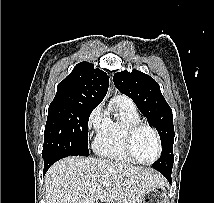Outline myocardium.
Listing matches in <instances>:
<instances>
[{
  "instance_id": "obj_1",
  "label": "myocardium",
  "mask_w": 214,
  "mask_h": 203,
  "mask_svg": "<svg viewBox=\"0 0 214 203\" xmlns=\"http://www.w3.org/2000/svg\"><path fill=\"white\" fill-rule=\"evenodd\" d=\"M143 128H146L153 133L155 140H156V144H157L156 157L152 161H149V162H145V161H142L141 159H139L137 157V155L135 154L134 147H133L136 134ZM125 149H126V152L128 153V155L135 162L142 164V165H152L159 160L161 153H162V143H161L159 133L157 132V130L154 127H152L151 125H149L147 123H144L142 121L134 123V124L130 125L126 130Z\"/></svg>"
}]
</instances>
